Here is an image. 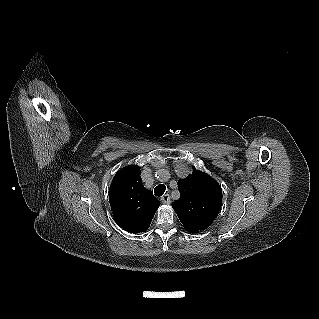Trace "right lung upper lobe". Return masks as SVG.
Listing matches in <instances>:
<instances>
[{"label": "right lung upper lobe", "instance_id": "obj_1", "mask_svg": "<svg viewBox=\"0 0 319 319\" xmlns=\"http://www.w3.org/2000/svg\"><path fill=\"white\" fill-rule=\"evenodd\" d=\"M137 165L119 170L114 176L109 201L116 223L124 230L136 234L146 231L160 202L147 190Z\"/></svg>", "mask_w": 319, "mask_h": 319}]
</instances>
